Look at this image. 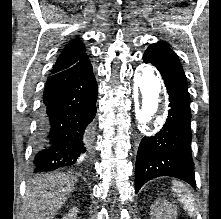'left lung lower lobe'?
I'll return each instance as SVG.
<instances>
[{
	"label": "left lung lower lobe",
	"instance_id": "0a47b994",
	"mask_svg": "<svg viewBox=\"0 0 221 219\" xmlns=\"http://www.w3.org/2000/svg\"><path fill=\"white\" fill-rule=\"evenodd\" d=\"M143 61L160 72L169 94L168 118L155 136L139 145L135 168V193L150 179L171 176L196 187L191 156V111L187 80L176 53L166 46L150 45Z\"/></svg>",
	"mask_w": 221,
	"mask_h": 219
}]
</instances>
